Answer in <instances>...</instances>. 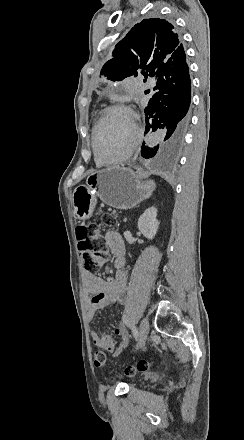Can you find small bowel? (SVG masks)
Instances as JSON below:
<instances>
[{
  "label": "small bowel",
  "instance_id": "obj_1",
  "mask_svg": "<svg viewBox=\"0 0 244 440\" xmlns=\"http://www.w3.org/2000/svg\"><path fill=\"white\" fill-rule=\"evenodd\" d=\"M108 249L113 256V265L116 269L115 278L105 280L95 274L85 273L83 276L84 286L88 295L86 313L91 320L97 311L105 310L111 306L122 305L125 302L127 290V272L125 270V247L120 234L116 231L106 233ZM104 260L101 261V265ZM115 334L119 341L114 340L106 333H99L90 329L89 335L92 343L116 357H119L127 349L130 338L126 328L118 325Z\"/></svg>",
  "mask_w": 244,
  "mask_h": 440
}]
</instances>
